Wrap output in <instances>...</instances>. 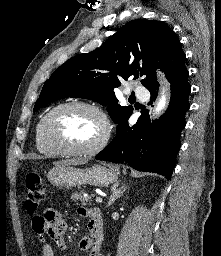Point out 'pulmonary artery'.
Listing matches in <instances>:
<instances>
[{
  "mask_svg": "<svg viewBox=\"0 0 221 256\" xmlns=\"http://www.w3.org/2000/svg\"><path fill=\"white\" fill-rule=\"evenodd\" d=\"M135 95L139 98L145 99L149 96L148 90L143 86H137L134 90Z\"/></svg>",
  "mask_w": 221,
  "mask_h": 256,
  "instance_id": "e3ab8cb5",
  "label": "pulmonary artery"
}]
</instances>
